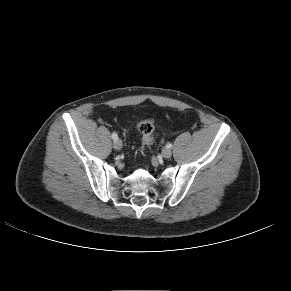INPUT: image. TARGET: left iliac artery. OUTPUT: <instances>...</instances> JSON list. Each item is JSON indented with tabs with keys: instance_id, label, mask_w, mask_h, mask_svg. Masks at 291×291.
Masks as SVG:
<instances>
[{
	"instance_id": "44dca946",
	"label": "left iliac artery",
	"mask_w": 291,
	"mask_h": 291,
	"mask_svg": "<svg viewBox=\"0 0 291 291\" xmlns=\"http://www.w3.org/2000/svg\"><path fill=\"white\" fill-rule=\"evenodd\" d=\"M166 147H167V148H172V144H171V143H168V144L166 145Z\"/></svg>"
}]
</instances>
